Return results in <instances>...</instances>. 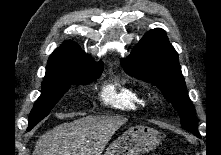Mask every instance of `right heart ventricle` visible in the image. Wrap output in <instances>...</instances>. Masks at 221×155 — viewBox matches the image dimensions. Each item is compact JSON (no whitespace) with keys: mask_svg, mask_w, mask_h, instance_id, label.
<instances>
[{"mask_svg":"<svg viewBox=\"0 0 221 155\" xmlns=\"http://www.w3.org/2000/svg\"><path fill=\"white\" fill-rule=\"evenodd\" d=\"M100 97L105 105L116 109L139 110L147 105L141 91L125 81L115 80L106 84Z\"/></svg>","mask_w":221,"mask_h":155,"instance_id":"1","label":"right heart ventricle"}]
</instances>
